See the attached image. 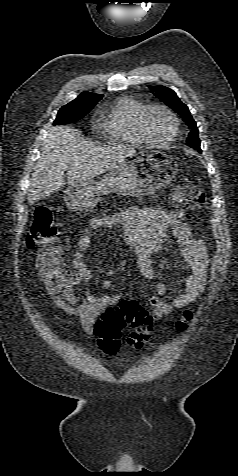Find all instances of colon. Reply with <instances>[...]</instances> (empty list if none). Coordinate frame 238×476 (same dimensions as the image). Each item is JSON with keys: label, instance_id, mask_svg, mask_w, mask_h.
Masks as SVG:
<instances>
[{"label": "colon", "instance_id": "colon-1", "mask_svg": "<svg viewBox=\"0 0 238 476\" xmlns=\"http://www.w3.org/2000/svg\"><path fill=\"white\" fill-rule=\"evenodd\" d=\"M177 207L194 210L205 203L203 191L186 178L177 181L173 195ZM58 227L52 212L46 207L34 211L33 221L27 236V246L39 250V269L43 279L51 288L70 285L74 278L62 264L60 249L57 245ZM193 314L190 310L183 313L177 320L178 331H185ZM152 317L136 301L123 300L109 307L96 323L95 334L100 348L109 354H115L120 346L121 331L131 327L127 337L129 345L135 348L143 347L150 338Z\"/></svg>", "mask_w": 238, "mask_h": 476}]
</instances>
